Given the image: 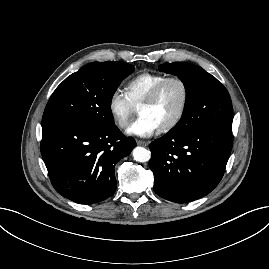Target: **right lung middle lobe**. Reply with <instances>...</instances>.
<instances>
[{"mask_svg":"<svg viewBox=\"0 0 269 269\" xmlns=\"http://www.w3.org/2000/svg\"><path fill=\"white\" fill-rule=\"evenodd\" d=\"M134 71L123 62H93L68 76L50 97L42 125L72 121L95 128L114 124L110 104L120 82Z\"/></svg>","mask_w":269,"mask_h":269,"instance_id":"1","label":"right lung middle lobe"}]
</instances>
